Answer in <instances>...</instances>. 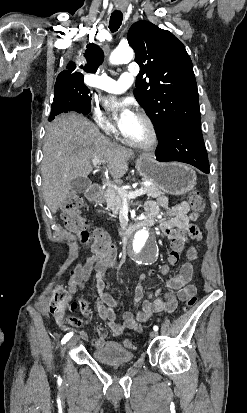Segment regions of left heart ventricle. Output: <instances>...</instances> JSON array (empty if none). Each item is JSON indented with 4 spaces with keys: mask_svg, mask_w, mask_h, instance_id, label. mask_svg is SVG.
I'll list each match as a JSON object with an SVG mask.
<instances>
[{
    "mask_svg": "<svg viewBox=\"0 0 247 413\" xmlns=\"http://www.w3.org/2000/svg\"><path fill=\"white\" fill-rule=\"evenodd\" d=\"M126 136L135 141H147L151 137V131L146 122L142 120L140 125L133 128Z\"/></svg>",
    "mask_w": 247,
    "mask_h": 413,
    "instance_id": "obj_1",
    "label": "left heart ventricle"
}]
</instances>
